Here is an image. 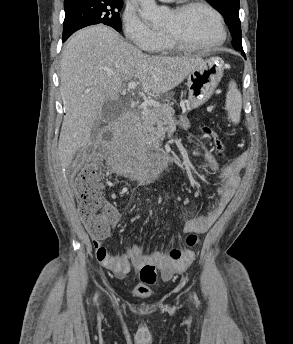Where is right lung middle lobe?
I'll return each instance as SVG.
<instances>
[{"label": "right lung middle lobe", "mask_w": 293, "mask_h": 344, "mask_svg": "<svg viewBox=\"0 0 293 344\" xmlns=\"http://www.w3.org/2000/svg\"><path fill=\"white\" fill-rule=\"evenodd\" d=\"M122 7L123 0H78L64 4L63 42L75 31L99 23L120 32Z\"/></svg>", "instance_id": "right-lung-middle-lobe-1"}]
</instances>
